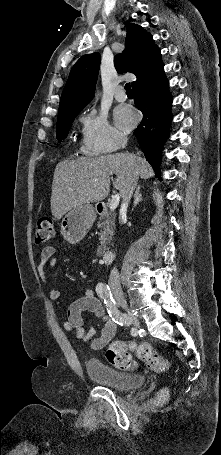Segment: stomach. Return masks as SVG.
<instances>
[{
	"label": "stomach",
	"mask_w": 221,
	"mask_h": 455,
	"mask_svg": "<svg viewBox=\"0 0 221 455\" xmlns=\"http://www.w3.org/2000/svg\"><path fill=\"white\" fill-rule=\"evenodd\" d=\"M96 218V211L90 204H82L70 209L63 217L60 224V233L65 241L70 244L80 242Z\"/></svg>",
	"instance_id": "obj_1"
}]
</instances>
